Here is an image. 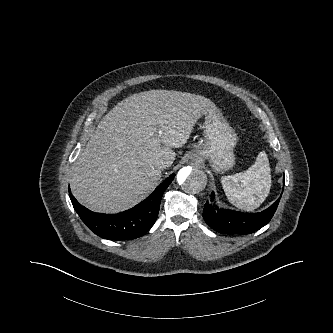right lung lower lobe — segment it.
Returning <instances> with one entry per match:
<instances>
[{
  "label": "right lung lower lobe",
  "mask_w": 333,
  "mask_h": 333,
  "mask_svg": "<svg viewBox=\"0 0 333 333\" xmlns=\"http://www.w3.org/2000/svg\"><path fill=\"white\" fill-rule=\"evenodd\" d=\"M170 175L154 192L135 207L118 214L95 213L82 206L71 194L72 205L82 221L96 235L109 240H131L143 236L155 223L162 195L174 179Z\"/></svg>",
  "instance_id": "right-lung-lower-lobe-1"
}]
</instances>
